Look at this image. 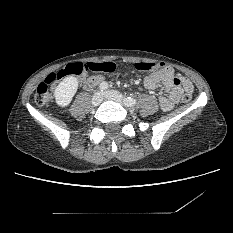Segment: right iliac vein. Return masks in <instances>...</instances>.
Returning a JSON list of instances; mask_svg holds the SVG:
<instances>
[{
  "label": "right iliac vein",
  "instance_id": "right-iliac-vein-1",
  "mask_svg": "<svg viewBox=\"0 0 233 233\" xmlns=\"http://www.w3.org/2000/svg\"><path fill=\"white\" fill-rule=\"evenodd\" d=\"M102 100H103V95L100 91H98L93 95L91 103L93 106H98L101 104Z\"/></svg>",
  "mask_w": 233,
  "mask_h": 233
}]
</instances>
